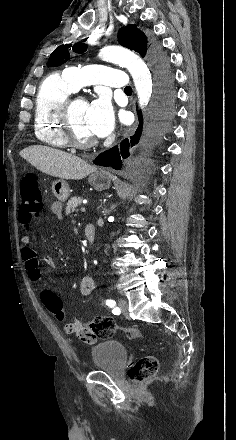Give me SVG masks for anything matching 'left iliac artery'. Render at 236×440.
<instances>
[{"instance_id": "left-iliac-artery-1", "label": "left iliac artery", "mask_w": 236, "mask_h": 440, "mask_svg": "<svg viewBox=\"0 0 236 440\" xmlns=\"http://www.w3.org/2000/svg\"><path fill=\"white\" fill-rule=\"evenodd\" d=\"M106 305L110 308H113V314H118L120 312V310L116 307V302L114 300H106Z\"/></svg>"}]
</instances>
